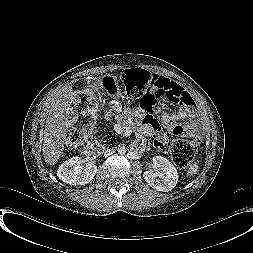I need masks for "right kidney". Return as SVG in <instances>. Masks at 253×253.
<instances>
[{
  "label": "right kidney",
  "instance_id": "1",
  "mask_svg": "<svg viewBox=\"0 0 253 253\" xmlns=\"http://www.w3.org/2000/svg\"><path fill=\"white\" fill-rule=\"evenodd\" d=\"M83 163L85 160L82 157H72L60 165L57 176L70 185H85L91 182L98 169L94 164H87L83 168Z\"/></svg>",
  "mask_w": 253,
  "mask_h": 253
}]
</instances>
